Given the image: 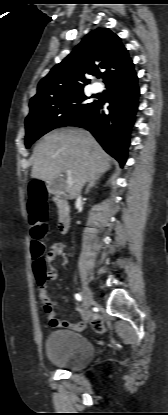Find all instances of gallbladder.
Returning a JSON list of instances; mask_svg holds the SVG:
<instances>
[{"instance_id":"obj_1","label":"gallbladder","mask_w":168,"mask_h":415,"mask_svg":"<svg viewBox=\"0 0 168 415\" xmlns=\"http://www.w3.org/2000/svg\"><path fill=\"white\" fill-rule=\"evenodd\" d=\"M63 185H64V180L61 179L60 177L54 178L53 180L50 181V186L54 190L61 189Z\"/></svg>"}]
</instances>
